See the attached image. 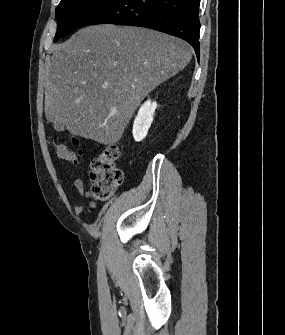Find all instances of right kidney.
<instances>
[{
	"mask_svg": "<svg viewBox=\"0 0 285 335\" xmlns=\"http://www.w3.org/2000/svg\"><path fill=\"white\" fill-rule=\"evenodd\" d=\"M156 108V102H151V100H147V102L142 104L133 124V138L135 142H141L147 136Z\"/></svg>",
	"mask_w": 285,
	"mask_h": 335,
	"instance_id": "ca27d5eb",
	"label": "right kidney"
}]
</instances>
